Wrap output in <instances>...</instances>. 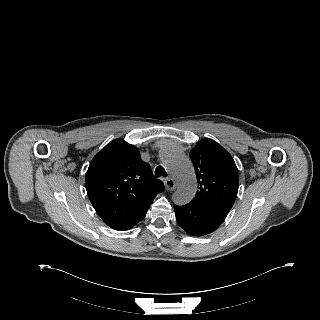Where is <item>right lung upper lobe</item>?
Returning a JSON list of instances; mask_svg holds the SVG:
<instances>
[{
  "instance_id": "cb5924a9",
  "label": "right lung upper lobe",
  "mask_w": 320,
  "mask_h": 320,
  "mask_svg": "<svg viewBox=\"0 0 320 320\" xmlns=\"http://www.w3.org/2000/svg\"><path fill=\"white\" fill-rule=\"evenodd\" d=\"M86 190L93 207L108 223L146 212L164 185L154 179L136 146L115 139L91 161Z\"/></svg>"
}]
</instances>
